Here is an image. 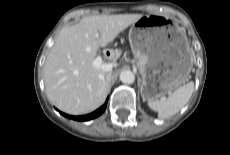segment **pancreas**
I'll return each instance as SVG.
<instances>
[{
  "mask_svg": "<svg viewBox=\"0 0 230 155\" xmlns=\"http://www.w3.org/2000/svg\"><path fill=\"white\" fill-rule=\"evenodd\" d=\"M120 56V51H116L114 55H112L111 59L116 60Z\"/></svg>",
  "mask_w": 230,
  "mask_h": 155,
  "instance_id": "cf45deb5",
  "label": "pancreas"
}]
</instances>
